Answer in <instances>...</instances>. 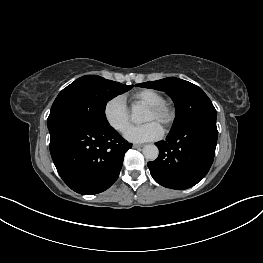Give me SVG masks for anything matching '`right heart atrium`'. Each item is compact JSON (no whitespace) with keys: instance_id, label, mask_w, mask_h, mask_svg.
<instances>
[{"instance_id":"d8ad5b80","label":"right heart atrium","mask_w":263,"mask_h":263,"mask_svg":"<svg viewBox=\"0 0 263 263\" xmlns=\"http://www.w3.org/2000/svg\"><path fill=\"white\" fill-rule=\"evenodd\" d=\"M103 115L107 124L119 133L124 132L130 124L129 110L122 95H115L106 101Z\"/></svg>"}]
</instances>
